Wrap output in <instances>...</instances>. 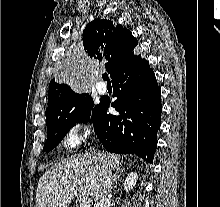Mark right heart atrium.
<instances>
[{
  "label": "right heart atrium",
  "mask_w": 220,
  "mask_h": 207,
  "mask_svg": "<svg viewBox=\"0 0 220 207\" xmlns=\"http://www.w3.org/2000/svg\"><path fill=\"white\" fill-rule=\"evenodd\" d=\"M91 132L92 128L87 119L77 116L69 124L62 143L66 148H76L90 136Z\"/></svg>",
  "instance_id": "obj_1"
}]
</instances>
